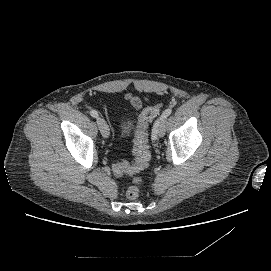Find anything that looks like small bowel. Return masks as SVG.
Returning <instances> with one entry per match:
<instances>
[{"label":"small bowel","mask_w":271,"mask_h":271,"mask_svg":"<svg viewBox=\"0 0 271 271\" xmlns=\"http://www.w3.org/2000/svg\"><path fill=\"white\" fill-rule=\"evenodd\" d=\"M128 98L135 109H140L142 107V102L139 98L134 96H129Z\"/></svg>","instance_id":"small-bowel-1"}]
</instances>
